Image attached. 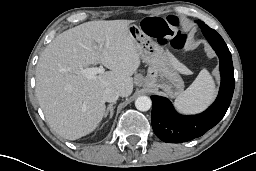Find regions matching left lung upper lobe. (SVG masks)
<instances>
[{
    "label": "left lung upper lobe",
    "instance_id": "left-lung-upper-lobe-1",
    "mask_svg": "<svg viewBox=\"0 0 256 171\" xmlns=\"http://www.w3.org/2000/svg\"><path fill=\"white\" fill-rule=\"evenodd\" d=\"M200 23H201V24H204V22H201V21L199 22V24H200Z\"/></svg>",
    "mask_w": 256,
    "mask_h": 171
}]
</instances>
